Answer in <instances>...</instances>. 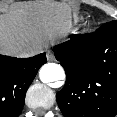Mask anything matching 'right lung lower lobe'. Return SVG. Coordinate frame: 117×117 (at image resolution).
I'll list each match as a JSON object with an SVG mask.
<instances>
[{"label":"right lung lower lobe","mask_w":117,"mask_h":117,"mask_svg":"<svg viewBox=\"0 0 117 117\" xmlns=\"http://www.w3.org/2000/svg\"><path fill=\"white\" fill-rule=\"evenodd\" d=\"M46 62L45 53L31 58L0 55V117L19 116L26 91Z\"/></svg>","instance_id":"1"}]
</instances>
